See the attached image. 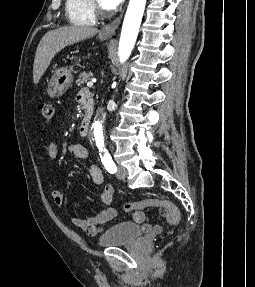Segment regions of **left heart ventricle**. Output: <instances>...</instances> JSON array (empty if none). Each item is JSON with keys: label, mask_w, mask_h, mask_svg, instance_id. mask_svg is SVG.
Listing matches in <instances>:
<instances>
[{"label": "left heart ventricle", "mask_w": 255, "mask_h": 287, "mask_svg": "<svg viewBox=\"0 0 255 287\" xmlns=\"http://www.w3.org/2000/svg\"><path fill=\"white\" fill-rule=\"evenodd\" d=\"M110 48H127V47H110Z\"/></svg>", "instance_id": "obj_1"}]
</instances>
